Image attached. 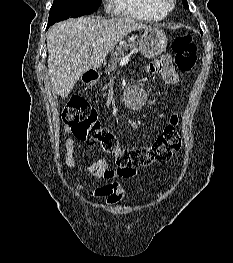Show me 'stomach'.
I'll return each mask as SVG.
<instances>
[{
	"instance_id": "obj_1",
	"label": "stomach",
	"mask_w": 233,
	"mask_h": 263,
	"mask_svg": "<svg viewBox=\"0 0 233 263\" xmlns=\"http://www.w3.org/2000/svg\"><path fill=\"white\" fill-rule=\"evenodd\" d=\"M167 46V37L164 31L158 28H148L139 41L141 53L148 59L162 54Z\"/></svg>"
}]
</instances>
